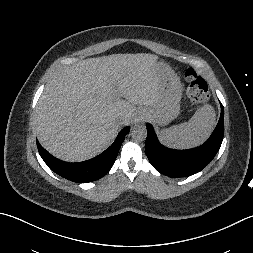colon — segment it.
I'll return each mask as SVG.
<instances>
[{
	"mask_svg": "<svg viewBox=\"0 0 253 253\" xmlns=\"http://www.w3.org/2000/svg\"><path fill=\"white\" fill-rule=\"evenodd\" d=\"M187 93L195 105L203 104L209 99V89L206 81L194 68H188L185 73Z\"/></svg>",
	"mask_w": 253,
	"mask_h": 253,
	"instance_id": "1",
	"label": "colon"
}]
</instances>
